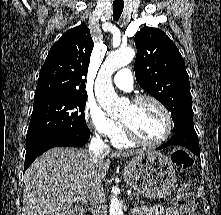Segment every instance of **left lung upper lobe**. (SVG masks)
Wrapping results in <instances>:
<instances>
[{"mask_svg":"<svg viewBox=\"0 0 221 215\" xmlns=\"http://www.w3.org/2000/svg\"><path fill=\"white\" fill-rule=\"evenodd\" d=\"M134 41L139 85L171 112L175 132L195 131L189 76L176 45L153 27L142 28Z\"/></svg>","mask_w":221,"mask_h":215,"instance_id":"5c2ea615","label":"left lung upper lobe"}]
</instances>
